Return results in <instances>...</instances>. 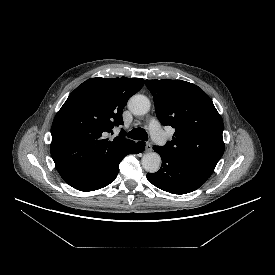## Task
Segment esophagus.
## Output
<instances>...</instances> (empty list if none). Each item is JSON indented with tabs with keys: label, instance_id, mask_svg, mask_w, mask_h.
Instances as JSON below:
<instances>
[{
	"label": "esophagus",
	"instance_id": "obj_1",
	"mask_svg": "<svg viewBox=\"0 0 275 275\" xmlns=\"http://www.w3.org/2000/svg\"><path fill=\"white\" fill-rule=\"evenodd\" d=\"M145 151L146 152L152 151V145H151V143H149V142L146 143V145H145Z\"/></svg>",
	"mask_w": 275,
	"mask_h": 275
}]
</instances>
